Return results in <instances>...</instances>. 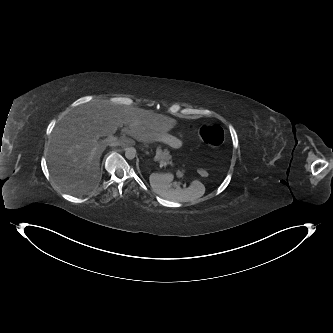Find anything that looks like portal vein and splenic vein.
I'll use <instances>...</instances> for the list:
<instances>
[{
    "instance_id": "1",
    "label": "portal vein and splenic vein",
    "mask_w": 333,
    "mask_h": 333,
    "mask_svg": "<svg viewBox=\"0 0 333 333\" xmlns=\"http://www.w3.org/2000/svg\"><path fill=\"white\" fill-rule=\"evenodd\" d=\"M115 139H116V137H114V136H109V138H108L109 141H112V140H115ZM165 165H166V163H160L161 167L165 166Z\"/></svg>"
}]
</instances>
